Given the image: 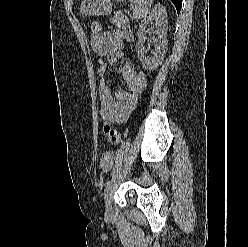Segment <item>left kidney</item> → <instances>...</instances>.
<instances>
[{
  "label": "left kidney",
  "instance_id": "1",
  "mask_svg": "<svg viewBox=\"0 0 248 247\" xmlns=\"http://www.w3.org/2000/svg\"><path fill=\"white\" fill-rule=\"evenodd\" d=\"M149 24L155 25L156 33L158 35V37L153 40L155 49L153 50V56L151 57L146 56V50L144 48L145 33ZM167 29V12L165 7L161 4H157L151 14L139 24L136 50L145 70H155L162 64L167 50Z\"/></svg>",
  "mask_w": 248,
  "mask_h": 247
}]
</instances>
